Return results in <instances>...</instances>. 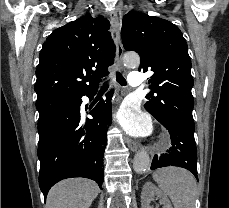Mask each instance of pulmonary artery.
<instances>
[{"label": "pulmonary artery", "mask_w": 229, "mask_h": 208, "mask_svg": "<svg viewBox=\"0 0 229 208\" xmlns=\"http://www.w3.org/2000/svg\"><path fill=\"white\" fill-rule=\"evenodd\" d=\"M140 77H144V72L131 73L127 78L129 85L133 87H140L142 83Z\"/></svg>", "instance_id": "e3ab8cb5"}]
</instances>
